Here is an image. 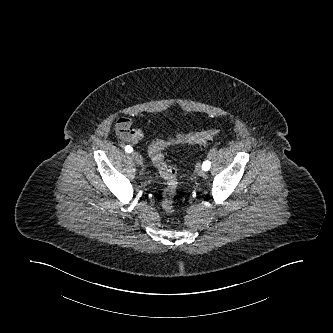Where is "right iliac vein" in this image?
I'll return each instance as SVG.
<instances>
[{"instance_id":"right-iliac-vein-1","label":"right iliac vein","mask_w":333,"mask_h":333,"mask_svg":"<svg viewBox=\"0 0 333 333\" xmlns=\"http://www.w3.org/2000/svg\"><path fill=\"white\" fill-rule=\"evenodd\" d=\"M132 158L134 159V161L137 165H142L143 159L140 154H138L137 152H133Z\"/></svg>"}]
</instances>
